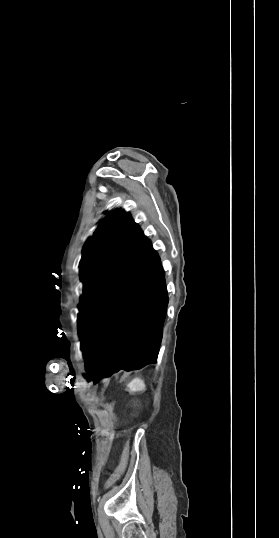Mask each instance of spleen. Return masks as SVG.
<instances>
[{
  "instance_id": "spleen-1",
  "label": "spleen",
  "mask_w": 279,
  "mask_h": 538,
  "mask_svg": "<svg viewBox=\"0 0 279 538\" xmlns=\"http://www.w3.org/2000/svg\"><path fill=\"white\" fill-rule=\"evenodd\" d=\"M141 383H144V380H141ZM141 383H140V380H132V383H130L129 392L131 394L144 393L145 392L144 385H142Z\"/></svg>"
}]
</instances>
